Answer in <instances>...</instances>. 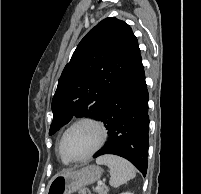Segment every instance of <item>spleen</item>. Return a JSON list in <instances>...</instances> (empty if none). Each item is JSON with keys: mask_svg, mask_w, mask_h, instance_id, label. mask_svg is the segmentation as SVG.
Listing matches in <instances>:
<instances>
[{"mask_svg": "<svg viewBox=\"0 0 201 194\" xmlns=\"http://www.w3.org/2000/svg\"><path fill=\"white\" fill-rule=\"evenodd\" d=\"M99 165H107L110 169V185L119 187L136 176L134 166L127 160L115 155H103L96 159Z\"/></svg>", "mask_w": 201, "mask_h": 194, "instance_id": "3e777b00", "label": "spleen"}]
</instances>
